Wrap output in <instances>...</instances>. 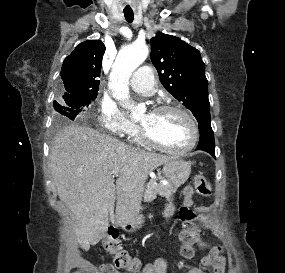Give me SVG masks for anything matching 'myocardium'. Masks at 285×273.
<instances>
[{"label":"myocardium","instance_id":"f54148a6","mask_svg":"<svg viewBox=\"0 0 285 273\" xmlns=\"http://www.w3.org/2000/svg\"><path fill=\"white\" fill-rule=\"evenodd\" d=\"M154 111L157 112H166V111H175L183 115L187 121L189 122V125L191 127V138L190 141L183 147L176 148V147H170L167 145H164L158 141H156L149 133L148 131L142 126H139V138L142 142L147 144L148 146H151L153 148L172 153V154H186L193 150L200 137V129L197 120L193 116V114L186 109L185 107L179 105V104H163L155 108Z\"/></svg>","mask_w":285,"mask_h":273}]
</instances>
